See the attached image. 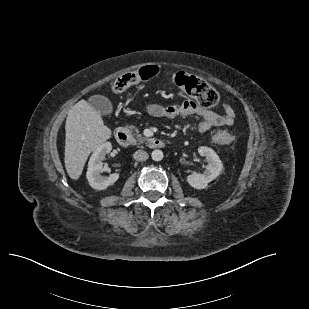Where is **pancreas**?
Masks as SVG:
<instances>
[{"label": "pancreas", "mask_w": 309, "mask_h": 309, "mask_svg": "<svg viewBox=\"0 0 309 309\" xmlns=\"http://www.w3.org/2000/svg\"><path fill=\"white\" fill-rule=\"evenodd\" d=\"M130 130H134L135 131V136H136V143L137 144H142L144 142H146L148 140L147 137L139 134V130L135 127V126H130L128 127Z\"/></svg>", "instance_id": "1"}]
</instances>
